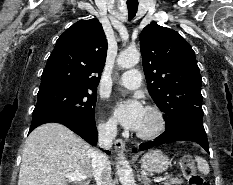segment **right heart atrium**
Returning <instances> with one entry per match:
<instances>
[{
    "label": "right heart atrium",
    "instance_id": "1",
    "mask_svg": "<svg viewBox=\"0 0 233 185\" xmlns=\"http://www.w3.org/2000/svg\"><path fill=\"white\" fill-rule=\"evenodd\" d=\"M99 130L104 135L113 136L117 131V127L113 120L108 119L100 123Z\"/></svg>",
    "mask_w": 233,
    "mask_h": 185
}]
</instances>
